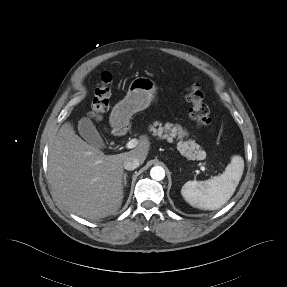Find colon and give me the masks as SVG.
I'll list each match as a JSON object with an SVG mask.
<instances>
[{
	"mask_svg": "<svg viewBox=\"0 0 287 287\" xmlns=\"http://www.w3.org/2000/svg\"><path fill=\"white\" fill-rule=\"evenodd\" d=\"M111 77L108 73L101 76L94 92V99L89 116L94 120H100L110 106ZM186 99L190 104L189 115L201 127H211L213 120L210 116V108L204 100V94L199 83L193 82L187 88Z\"/></svg>",
	"mask_w": 287,
	"mask_h": 287,
	"instance_id": "obj_1",
	"label": "colon"
}]
</instances>
